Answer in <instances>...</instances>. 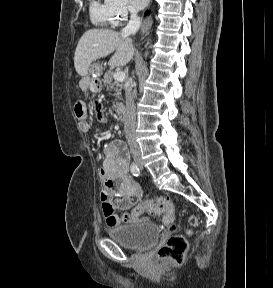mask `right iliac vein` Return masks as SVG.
<instances>
[{"label":"right iliac vein","instance_id":"1","mask_svg":"<svg viewBox=\"0 0 273 288\" xmlns=\"http://www.w3.org/2000/svg\"><path fill=\"white\" fill-rule=\"evenodd\" d=\"M136 162H137L138 164H140V163H141V160H140V159H137Z\"/></svg>","mask_w":273,"mask_h":288}]
</instances>
